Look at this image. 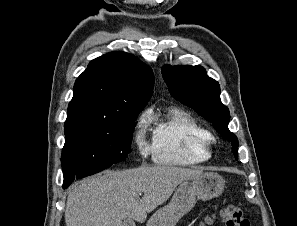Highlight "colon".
Listing matches in <instances>:
<instances>
[{
	"mask_svg": "<svg viewBox=\"0 0 297 226\" xmlns=\"http://www.w3.org/2000/svg\"><path fill=\"white\" fill-rule=\"evenodd\" d=\"M223 219L226 226H250L249 219L243 211L235 205H227L223 210Z\"/></svg>",
	"mask_w": 297,
	"mask_h": 226,
	"instance_id": "colon-1",
	"label": "colon"
}]
</instances>
